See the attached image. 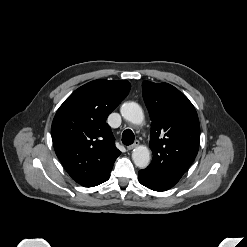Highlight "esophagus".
<instances>
[{
    "label": "esophagus",
    "mask_w": 247,
    "mask_h": 247,
    "mask_svg": "<svg viewBox=\"0 0 247 247\" xmlns=\"http://www.w3.org/2000/svg\"><path fill=\"white\" fill-rule=\"evenodd\" d=\"M139 145V141L136 140L132 145L127 146L128 150H132Z\"/></svg>",
    "instance_id": "obj_1"
}]
</instances>
